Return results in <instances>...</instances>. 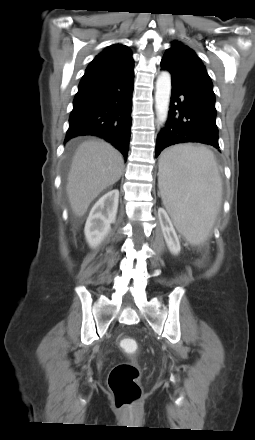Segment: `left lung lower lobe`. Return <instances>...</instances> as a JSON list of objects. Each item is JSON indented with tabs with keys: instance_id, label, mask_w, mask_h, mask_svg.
I'll return each instance as SVG.
<instances>
[{
	"instance_id": "obj_1",
	"label": "left lung lower lobe",
	"mask_w": 255,
	"mask_h": 440,
	"mask_svg": "<svg viewBox=\"0 0 255 440\" xmlns=\"http://www.w3.org/2000/svg\"><path fill=\"white\" fill-rule=\"evenodd\" d=\"M179 96H183V100ZM188 142L219 148L215 105L190 95L172 83L168 120L157 137L155 157L168 146Z\"/></svg>"
}]
</instances>
